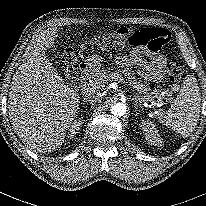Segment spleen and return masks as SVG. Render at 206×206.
Wrapping results in <instances>:
<instances>
[{
  "label": "spleen",
  "instance_id": "spleen-1",
  "mask_svg": "<svg viewBox=\"0 0 206 206\" xmlns=\"http://www.w3.org/2000/svg\"><path fill=\"white\" fill-rule=\"evenodd\" d=\"M201 93L196 78L188 75L169 110L158 115L160 123L171 128L182 137L189 136L199 120Z\"/></svg>",
  "mask_w": 206,
  "mask_h": 206
}]
</instances>
